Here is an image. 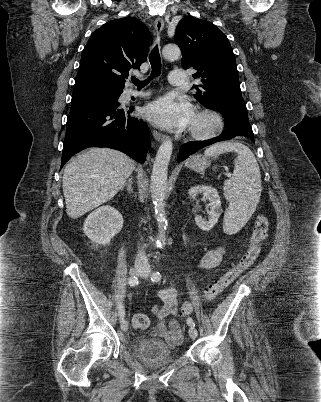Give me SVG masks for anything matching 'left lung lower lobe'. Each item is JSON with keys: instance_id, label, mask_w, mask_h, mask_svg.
Wrapping results in <instances>:
<instances>
[{"instance_id": "0a47b994", "label": "left lung lower lobe", "mask_w": 321, "mask_h": 402, "mask_svg": "<svg viewBox=\"0 0 321 402\" xmlns=\"http://www.w3.org/2000/svg\"><path fill=\"white\" fill-rule=\"evenodd\" d=\"M220 112L223 114L226 120V132L209 140L190 141L187 144H184L180 148V154L177 158L178 161L185 160L188 156L206 146L237 136L247 137L254 143L253 131L249 123L245 104L228 105Z\"/></svg>"}]
</instances>
